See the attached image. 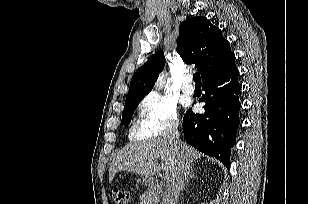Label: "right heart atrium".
Wrapping results in <instances>:
<instances>
[{
	"label": "right heart atrium",
	"instance_id": "d8ad5b80",
	"mask_svg": "<svg viewBox=\"0 0 309 204\" xmlns=\"http://www.w3.org/2000/svg\"><path fill=\"white\" fill-rule=\"evenodd\" d=\"M142 120L137 136L142 138L158 137L177 128L179 119L173 100L159 94H148L140 104Z\"/></svg>",
	"mask_w": 309,
	"mask_h": 204
}]
</instances>
